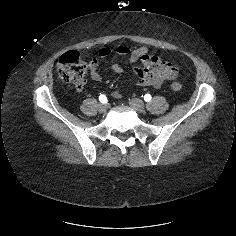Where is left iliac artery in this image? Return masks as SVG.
I'll use <instances>...</instances> for the list:
<instances>
[{"label": "left iliac artery", "mask_w": 236, "mask_h": 236, "mask_svg": "<svg viewBox=\"0 0 236 236\" xmlns=\"http://www.w3.org/2000/svg\"><path fill=\"white\" fill-rule=\"evenodd\" d=\"M144 100H145L146 102H149V101L151 100V95H150V94H146V95L144 96Z\"/></svg>", "instance_id": "obj_1"}]
</instances>
